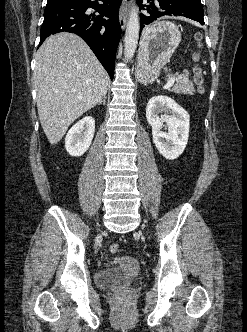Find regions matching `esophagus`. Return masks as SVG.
I'll return each instance as SVG.
<instances>
[{"instance_id":"34e87169","label":"esophagus","mask_w":247,"mask_h":332,"mask_svg":"<svg viewBox=\"0 0 247 332\" xmlns=\"http://www.w3.org/2000/svg\"><path fill=\"white\" fill-rule=\"evenodd\" d=\"M131 0H123L121 5V12L119 16V22L121 29L124 30L127 24V10L130 5Z\"/></svg>"}]
</instances>
